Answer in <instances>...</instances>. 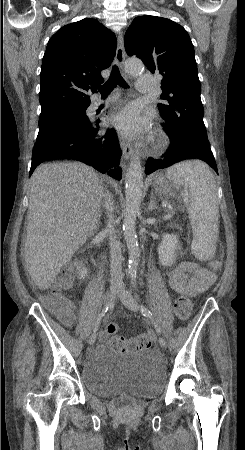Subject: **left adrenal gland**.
<instances>
[{"label":"left adrenal gland","mask_w":245,"mask_h":450,"mask_svg":"<svg viewBox=\"0 0 245 450\" xmlns=\"http://www.w3.org/2000/svg\"><path fill=\"white\" fill-rule=\"evenodd\" d=\"M158 209L157 205H156V201H155V197H154V193L151 194V198H150V202H149V206H148V210L149 211H153Z\"/></svg>","instance_id":"1"}]
</instances>
